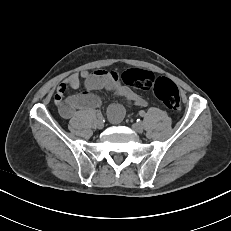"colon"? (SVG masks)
<instances>
[{"label": "colon", "mask_w": 231, "mask_h": 231, "mask_svg": "<svg viewBox=\"0 0 231 231\" xmlns=\"http://www.w3.org/2000/svg\"><path fill=\"white\" fill-rule=\"evenodd\" d=\"M123 84L140 90H151L154 95L172 111H178L181 106L177 86L165 77H155L147 70L130 69L120 75Z\"/></svg>", "instance_id": "1"}]
</instances>
